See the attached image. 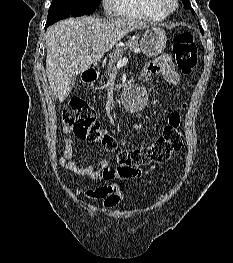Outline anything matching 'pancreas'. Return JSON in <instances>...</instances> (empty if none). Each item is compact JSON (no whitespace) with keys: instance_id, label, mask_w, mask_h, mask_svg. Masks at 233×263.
<instances>
[{"instance_id":"pancreas-1","label":"pancreas","mask_w":233,"mask_h":263,"mask_svg":"<svg viewBox=\"0 0 233 263\" xmlns=\"http://www.w3.org/2000/svg\"><path fill=\"white\" fill-rule=\"evenodd\" d=\"M127 48H139V43L137 40H130L126 42L122 47L117 46L114 51L110 53V60L108 62L107 74H110L111 71L115 70V65L120 59L121 55L124 53V50Z\"/></svg>"}]
</instances>
